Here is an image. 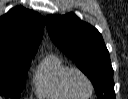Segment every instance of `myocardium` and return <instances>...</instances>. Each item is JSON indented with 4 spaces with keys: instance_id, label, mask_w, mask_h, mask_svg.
<instances>
[{
    "instance_id": "f54148a6",
    "label": "myocardium",
    "mask_w": 128,
    "mask_h": 99,
    "mask_svg": "<svg viewBox=\"0 0 128 99\" xmlns=\"http://www.w3.org/2000/svg\"><path fill=\"white\" fill-rule=\"evenodd\" d=\"M74 73H77L79 75H81L88 83L89 87H90V93L88 96L86 97H80V98H90L92 95H93V92H94V86H93V83L90 79V77L81 69L77 68V67H70L66 73H65V76H64V85H65V88L66 90L71 94V96L73 97H79L77 96L71 89V86H70V77L74 74Z\"/></svg>"
}]
</instances>
